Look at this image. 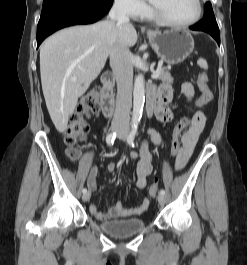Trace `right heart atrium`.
<instances>
[{"label": "right heart atrium", "instance_id": "1", "mask_svg": "<svg viewBox=\"0 0 247 265\" xmlns=\"http://www.w3.org/2000/svg\"><path fill=\"white\" fill-rule=\"evenodd\" d=\"M114 3L120 12L132 18L142 17L147 11L143 0H114Z\"/></svg>", "mask_w": 247, "mask_h": 265}]
</instances>
